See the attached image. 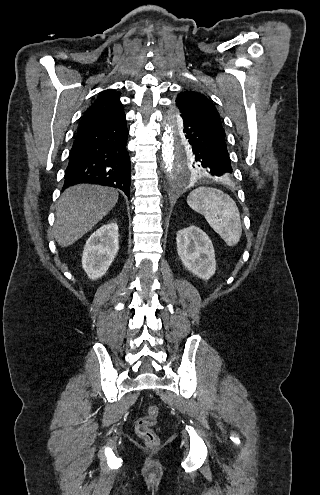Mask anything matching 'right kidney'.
Returning <instances> with one entry per match:
<instances>
[{"label":"right kidney","instance_id":"right-kidney-1","mask_svg":"<svg viewBox=\"0 0 320 495\" xmlns=\"http://www.w3.org/2000/svg\"><path fill=\"white\" fill-rule=\"evenodd\" d=\"M117 223L101 226L87 240L82 255V267L87 276L96 280L109 269L119 249Z\"/></svg>","mask_w":320,"mask_h":495}]
</instances>
